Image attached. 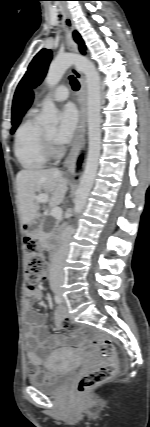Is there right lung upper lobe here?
Here are the masks:
<instances>
[{
    "label": "right lung upper lobe",
    "instance_id": "1",
    "mask_svg": "<svg viewBox=\"0 0 150 427\" xmlns=\"http://www.w3.org/2000/svg\"><path fill=\"white\" fill-rule=\"evenodd\" d=\"M82 53H84L83 49H80ZM33 101V93L31 91H29L27 93V95L24 98L21 110H20V117H22L24 115V113L27 111V109L30 107L31 103ZM20 117L17 120L16 125L19 124L20 122Z\"/></svg>",
    "mask_w": 150,
    "mask_h": 427
}]
</instances>
